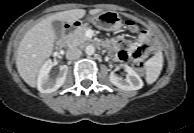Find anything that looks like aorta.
Returning <instances> with one entry per match:
<instances>
[{"instance_id": "1", "label": "aorta", "mask_w": 194, "mask_h": 133, "mask_svg": "<svg viewBox=\"0 0 194 133\" xmlns=\"http://www.w3.org/2000/svg\"><path fill=\"white\" fill-rule=\"evenodd\" d=\"M94 52H95V47H94V46H92V45L86 46V48H85V53H86L87 55H93Z\"/></svg>"}]
</instances>
